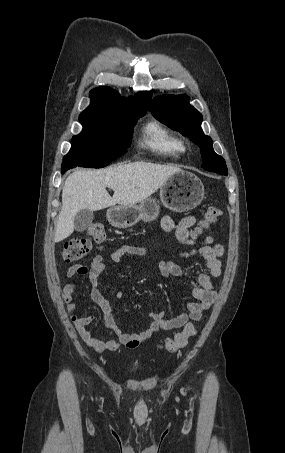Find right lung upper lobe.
<instances>
[{"mask_svg":"<svg viewBox=\"0 0 285 453\" xmlns=\"http://www.w3.org/2000/svg\"><path fill=\"white\" fill-rule=\"evenodd\" d=\"M91 105L86 110L102 111L110 113H133L147 111L148 102L151 99L150 92H139L135 100L122 98L108 87L95 88L90 92Z\"/></svg>","mask_w":285,"mask_h":453,"instance_id":"obj_1","label":"right lung upper lobe"}]
</instances>
